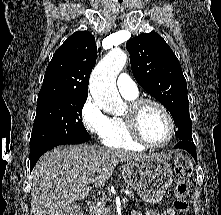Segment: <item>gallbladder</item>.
Returning <instances> with one entry per match:
<instances>
[{
  "label": "gallbladder",
  "mask_w": 221,
  "mask_h": 215,
  "mask_svg": "<svg viewBox=\"0 0 221 215\" xmlns=\"http://www.w3.org/2000/svg\"><path fill=\"white\" fill-rule=\"evenodd\" d=\"M63 215H82L81 209L76 205H70L65 214Z\"/></svg>",
  "instance_id": "obj_1"
}]
</instances>
